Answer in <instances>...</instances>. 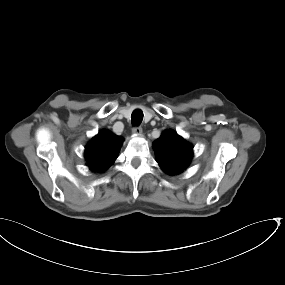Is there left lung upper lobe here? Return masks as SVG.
Returning a JSON list of instances; mask_svg holds the SVG:
<instances>
[{
    "label": "left lung upper lobe",
    "instance_id": "1",
    "mask_svg": "<svg viewBox=\"0 0 285 285\" xmlns=\"http://www.w3.org/2000/svg\"><path fill=\"white\" fill-rule=\"evenodd\" d=\"M156 161L170 175L184 171L190 164L192 146L172 130H167L154 142Z\"/></svg>",
    "mask_w": 285,
    "mask_h": 285
}]
</instances>
